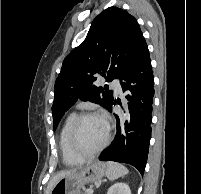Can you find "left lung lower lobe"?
Instances as JSON below:
<instances>
[{"mask_svg":"<svg viewBox=\"0 0 201 194\" xmlns=\"http://www.w3.org/2000/svg\"><path fill=\"white\" fill-rule=\"evenodd\" d=\"M145 40L141 43L129 68L123 75L121 86L129 107V121L124 128L119 127L117 115V134L111 145L103 151L101 161L127 163L144 174L149 141L151 139V122L154 97V76ZM115 104V102H114ZM112 110V106L109 111Z\"/></svg>","mask_w":201,"mask_h":194,"instance_id":"left-lung-lower-lobe-1","label":"left lung lower lobe"}]
</instances>
